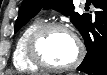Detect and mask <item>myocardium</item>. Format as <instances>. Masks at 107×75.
I'll list each match as a JSON object with an SVG mask.
<instances>
[{"mask_svg": "<svg viewBox=\"0 0 107 75\" xmlns=\"http://www.w3.org/2000/svg\"><path fill=\"white\" fill-rule=\"evenodd\" d=\"M52 30L64 31L71 35V37L74 39L76 45V55L75 58L70 63L65 65H55L50 63L43 56L41 51V42L45 35ZM26 51L28 58L31 60L32 63L37 65L39 68L52 71H65L73 69L80 63L83 57V47L81 42L69 31V29L65 25L57 22L44 23L38 26L31 33L27 40Z\"/></svg>", "mask_w": 107, "mask_h": 75, "instance_id": "myocardium-1", "label": "myocardium"}]
</instances>
